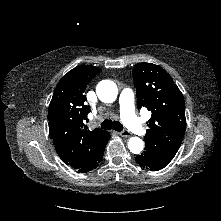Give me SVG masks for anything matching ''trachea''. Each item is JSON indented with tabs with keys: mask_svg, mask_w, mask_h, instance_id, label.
Masks as SVG:
<instances>
[{
	"mask_svg": "<svg viewBox=\"0 0 221 221\" xmlns=\"http://www.w3.org/2000/svg\"><path fill=\"white\" fill-rule=\"evenodd\" d=\"M101 128L105 129V130L113 129L115 131L121 132L123 130V125L118 121H112L110 119H105L101 123Z\"/></svg>",
	"mask_w": 221,
	"mask_h": 221,
	"instance_id": "1",
	"label": "trachea"
}]
</instances>
